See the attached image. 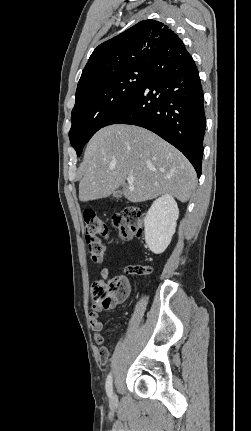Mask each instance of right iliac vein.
Masks as SVG:
<instances>
[{"label":"right iliac vein","mask_w":251,"mask_h":431,"mask_svg":"<svg viewBox=\"0 0 251 431\" xmlns=\"http://www.w3.org/2000/svg\"><path fill=\"white\" fill-rule=\"evenodd\" d=\"M116 397L114 395L111 396V401H115Z\"/></svg>","instance_id":"obj_1"}]
</instances>
